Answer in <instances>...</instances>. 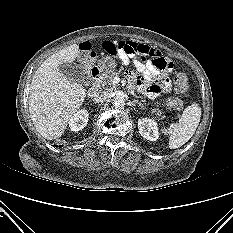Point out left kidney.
Returning <instances> with one entry per match:
<instances>
[{"instance_id": "5707ae66", "label": "left kidney", "mask_w": 233, "mask_h": 233, "mask_svg": "<svg viewBox=\"0 0 233 233\" xmlns=\"http://www.w3.org/2000/svg\"><path fill=\"white\" fill-rule=\"evenodd\" d=\"M138 129L141 136L149 141H156L159 137L157 123L154 119H139Z\"/></svg>"}]
</instances>
